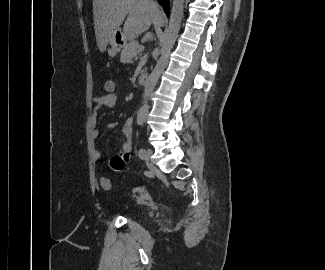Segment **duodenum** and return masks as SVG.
I'll return each instance as SVG.
<instances>
[{
  "mask_svg": "<svg viewBox=\"0 0 325 270\" xmlns=\"http://www.w3.org/2000/svg\"><path fill=\"white\" fill-rule=\"evenodd\" d=\"M148 77L146 75H141L138 79V84L140 86H146L148 84Z\"/></svg>",
  "mask_w": 325,
  "mask_h": 270,
  "instance_id": "1",
  "label": "duodenum"
}]
</instances>
